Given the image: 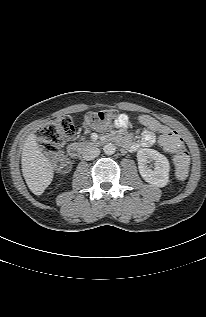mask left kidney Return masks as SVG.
I'll return each mask as SVG.
<instances>
[{"label": "left kidney", "mask_w": 206, "mask_h": 317, "mask_svg": "<svg viewBox=\"0 0 206 317\" xmlns=\"http://www.w3.org/2000/svg\"><path fill=\"white\" fill-rule=\"evenodd\" d=\"M148 159L153 160V169L148 166ZM138 168L142 178L157 187H164L169 181L170 165L168 159L153 149H140L137 152Z\"/></svg>", "instance_id": "1"}]
</instances>
